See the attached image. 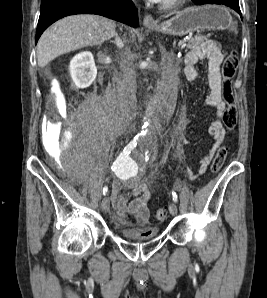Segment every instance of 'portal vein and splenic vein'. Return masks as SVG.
I'll list each match as a JSON object with an SVG mask.
<instances>
[{
	"label": "portal vein and splenic vein",
	"mask_w": 267,
	"mask_h": 298,
	"mask_svg": "<svg viewBox=\"0 0 267 298\" xmlns=\"http://www.w3.org/2000/svg\"><path fill=\"white\" fill-rule=\"evenodd\" d=\"M186 46H187V44H186V43H183V44L181 45V49L185 48Z\"/></svg>",
	"instance_id": "1"
}]
</instances>
